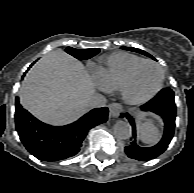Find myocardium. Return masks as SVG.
Returning <instances> with one entry per match:
<instances>
[{
    "mask_svg": "<svg viewBox=\"0 0 194 193\" xmlns=\"http://www.w3.org/2000/svg\"><path fill=\"white\" fill-rule=\"evenodd\" d=\"M144 64H151L154 65L155 67H157L160 71V79L159 82L156 86V88L147 96L144 97H140V98H132L130 96L127 95L126 90L127 87L129 86V84L131 83L135 73L137 72V70ZM164 80H165V70L163 68L162 65H160L158 62L152 60V59H143L141 61H139L138 63H136L135 65H133L129 71L126 73V75L124 76V78L122 79L121 83L119 84L117 90L118 93L120 95V98L129 105H140V104H144L148 101H150L151 99H153L162 89L163 84H164Z\"/></svg>",
    "mask_w": 194,
    "mask_h": 193,
    "instance_id": "obj_1",
    "label": "myocardium"
}]
</instances>
